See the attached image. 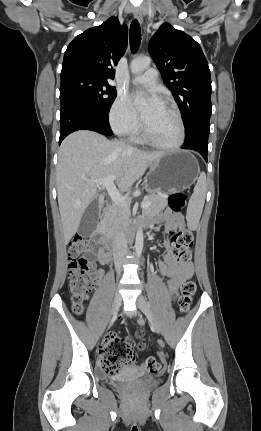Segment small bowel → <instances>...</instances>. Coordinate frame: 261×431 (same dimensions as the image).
Instances as JSON below:
<instances>
[{"label":"small bowel","mask_w":261,"mask_h":431,"mask_svg":"<svg viewBox=\"0 0 261 431\" xmlns=\"http://www.w3.org/2000/svg\"><path fill=\"white\" fill-rule=\"evenodd\" d=\"M153 220L155 221H165L170 229L177 228L183 222L182 216L179 214L172 213L167 210L162 215L155 218H147L145 219V223H150ZM164 247V255L162 260L159 262V271L162 275L167 276L169 278L167 282V292L171 298H175L177 296L178 290L184 281L191 278L193 275V266L191 263L186 264H178L172 255L171 245L169 242L165 241L163 243ZM89 255L91 257V264L93 265V276L94 282L99 285L100 280L104 274L102 269L95 268V264L99 263L101 265L108 264L110 262V258L108 257L106 251L102 247H93L89 251ZM107 339V337H106ZM104 340V342L106 341ZM103 342V344H104ZM145 343L142 342L140 344V348H143ZM136 357L134 355L133 361L131 364L135 363ZM141 370V366H140Z\"/></svg>","instance_id":"1"}]
</instances>
